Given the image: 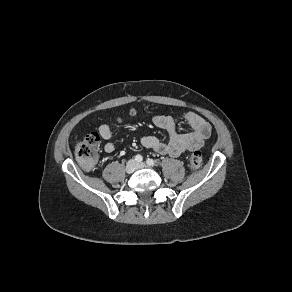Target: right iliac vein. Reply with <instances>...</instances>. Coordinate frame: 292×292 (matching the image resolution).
I'll list each match as a JSON object with an SVG mask.
<instances>
[{"mask_svg":"<svg viewBox=\"0 0 292 292\" xmlns=\"http://www.w3.org/2000/svg\"><path fill=\"white\" fill-rule=\"evenodd\" d=\"M137 168V164L134 160H129L126 164V172L128 174L133 173Z\"/></svg>","mask_w":292,"mask_h":292,"instance_id":"1","label":"right iliac vein"}]
</instances>
